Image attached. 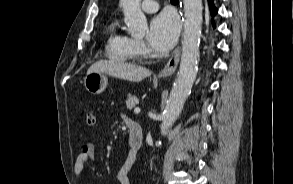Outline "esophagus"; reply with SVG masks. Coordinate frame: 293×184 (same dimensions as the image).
Instances as JSON below:
<instances>
[{"label": "esophagus", "instance_id": "34e87169", "mask_svg": "<svg viewBox=\"0 0 293 184\" xmlns=\"http://www.w3.org/2000/svg\"><path fill=\"white\" fill-rule=\"evenodd\" d=\"M180 7H181V4H180ZM180 53H181V46L178 45V47L172 54L171 58L169 59L165 67L159 72L158 74L159 78L168 77L175 72L179 63Z\"/></svg>", "mask_w": 293, "mask_h": 184}]
</instances>
